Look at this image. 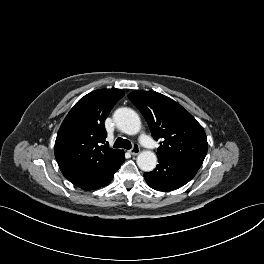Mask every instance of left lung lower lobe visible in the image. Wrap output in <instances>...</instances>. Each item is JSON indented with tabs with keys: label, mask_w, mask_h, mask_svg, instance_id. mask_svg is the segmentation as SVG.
Returning a JSON list of instances; mask_svg holds the SVG:
<instances>
[{
	"label": "left lung lower lobe",
	"mask_w": 264,
	"mask_h": 264,
	"mask_svg": "<svg viewBox=\"0 0 264 264\" xmlns=\"http://www.w3.org/2000/svg\"><path fill=\"white\" fill-rule=\"evenodd\" d=\"M159 164L151 172H145L147 184L157 190L168 192L188 183L197 173L194 166L168 157H158Z\"/></svg>",
	"instance_id": "0a47b994"
}]
</instances>
